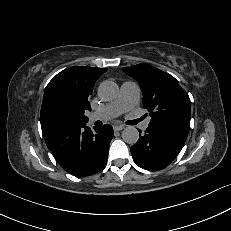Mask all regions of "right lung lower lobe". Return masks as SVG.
Listing matches in <instances>:
<instances>
[{
  "instance_id": "1",
  "label": "right lung lower lobe",
  "mask_w": 231,
  "mask_h": 231,
  "mask_svg": "<svg viewBox=\"0 0 231 231\" xmlns=\"http://www.w3.org/2000/svg\"><path fill=\"white\" fill-rule=\"evenodd\" d=\"M112 137L111 125L94 127V131L83 125L72 130L66 144L51 149V152L64 170L84 177L105 167Z\"/></svg>"
}]
</instances>
